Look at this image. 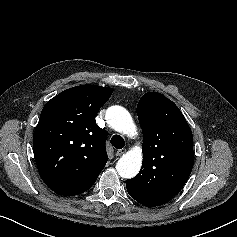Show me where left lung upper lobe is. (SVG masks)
<instances>
[{"instance_id":"obj_1","label":"left lung upper lobe","mask_w":237,"mask_h":237,"mask_svg":"<svg viewBox=\"0 0 237 237\" xmlns=\"http://www.w3.org/2000/svg\"><path fill=\"white\" fill-rule=\"evenodd\" d=\"M137 115L144 136L143 163L138 175L126 180V187L142 205L159 206L175 196L190 176L192 132L179 108L160 93L143 95Z\"/></svg>"}]
</instances>
